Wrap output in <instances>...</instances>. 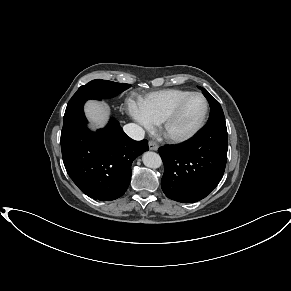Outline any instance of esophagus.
Listing matches in <instances>:
<instances>
[{
  "label": "esophagus",
  "instance_id": "esophagus-1",
  "mask_svg": "<svg viewBox=\"0 0 291 291\" xmlns=\"http://www.w3.org/2000/svg\"><path fill=\"white\" fill-rule=\"evenodd\" d=\"M149 149L154 151L158 150V144L154 141H149Z\"/></svg>",
  "mask_w": 291,
  "mask_h": 291
}]
</instances>
